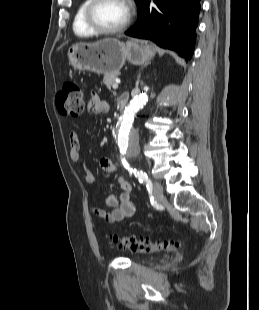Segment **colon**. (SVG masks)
Segmentation results:
<instances>
[{
	"mask_svg": "<svg viewBox=\"0 0 259 310\" xmlns=\"http://www.w3.org/2000/svg\"><path fill=\"white\" fill-rule=\"evenodd\" d=\"M58 109L67 115L78 116L84 110V98L80 85L75 81H67L56 94ZM110 243L120 249H129L133 253L145 254L156 251L171 250L177 246L173 240L151 241L136 236H110Z\"/></svg>",
	"mask_w": 259,
	"mask_h": 310,
	"instance_id": "colon-1",
	"label": "colon"
}]
</instances>
